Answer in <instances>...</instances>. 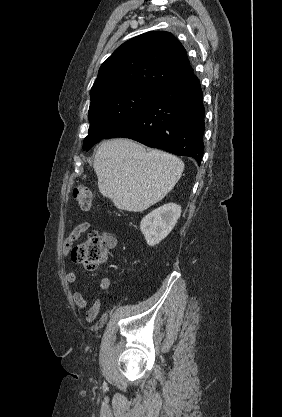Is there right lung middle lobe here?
Returning a JSON list of instances; mask_svg holds the SVG:
<instances>
[{
    "mask_svg": "<svg viewBox=\"0 0 282 417\" xmlns=\"http://www.w3.org/2000/svg\"><path fill=\"white\" fill-rule=\"evenodd\" d=\"M157 91L125 89L91 97L88 112L90 128L83 150L104 139L111 131L127 121L156 95Z\"/></svg>",
    "mask_w": 282,
    "mask_h": 417,
    "instance_id": "right-lung-middle-lobe-1",
    "label": "right lung middle lobe"
}]
</instances>
